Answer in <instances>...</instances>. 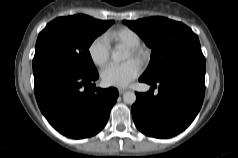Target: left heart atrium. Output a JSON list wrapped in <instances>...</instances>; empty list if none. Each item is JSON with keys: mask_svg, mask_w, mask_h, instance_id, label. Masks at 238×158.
Wrapping results in <instances>:
<instances>
[{"mask_svg": "<svg viewBox=\"0 0 238 158\" xmlns=\"http://www.w3.org/2000/svg\"><path fill=\"white\" fill-rule=\"evenodd\" d=\"M140 73V66L135 60L122 64H110L101 72L103 82L108 86L125 87Z\"/></svg>", "mask_w": 238, "mask_h": 158, "instance_id": "obj_1", "label": "left heart atrium"}]
</instances>
